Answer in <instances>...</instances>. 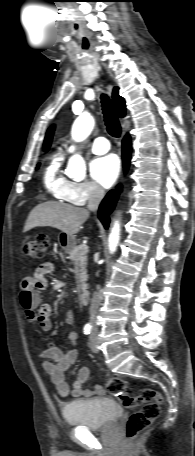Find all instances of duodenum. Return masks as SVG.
Listing matches in <instances>:
<instances>
[{"label": "duodenum", "instance_id": "1", "mask_svg": "<svg viewBox=\"0 0 195 456\" xmlns=\"http://www.w3.org/2000/svg\"><path fill=\"white\" fill-rule=\"evenodd\" d=\"M80 299L84 304H87L90 300V293L87 289H83L80 293Z\"/></svg>", "mask_w": 195, "mask_h": 456}]
</instances>
